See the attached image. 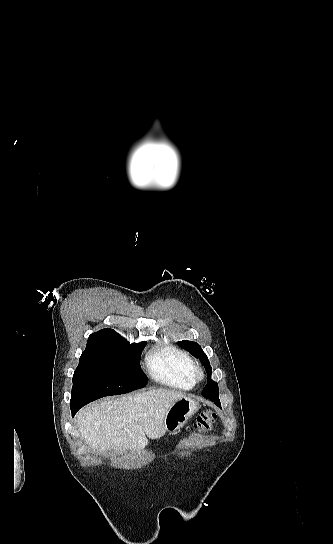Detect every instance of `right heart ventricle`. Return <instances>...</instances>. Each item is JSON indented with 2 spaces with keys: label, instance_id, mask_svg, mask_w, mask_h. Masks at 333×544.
Returning a JSON list of instances; mask_svg holds the SVG:
<instances>
[{
  "label": "right heart ventricle",
  "instance_id": "right-heart-ventricle-1",
  "mask_svg": "<svg viewBox=\"0 0 333 544\" xmlns=\"http://www.w3.org/2000/svg\"><path fill=\"white\" fill-rule=\"evenodd\" d=\"M145 363L149 376L159 384L178 390H190L195 384L191 375L194 362L177 346L160 345L153 348L147 354Z\"/></svg>",
  "mask_w": 333,
  "mask_h": 544
}]
</instances>
